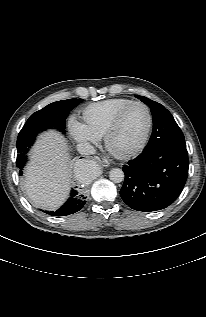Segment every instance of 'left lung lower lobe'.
<instances>
[{
    "label": "left lung lower lobe",
    "instance_id": "obj_1",
    "mask_svg": "<svg viewBox=\"0 0 206 317\" xmlns=\"http://www.w3.org/2000/svg\"><path fill=\"white\" fill-rule=\"evenodd\" d=\"M186 147L162 145L144 150L124 165L125 181L120 190L123 201L132 209L151 212L172 204L188 176Z\"/></svg>",
    "mask_w": 206,
    "mask_h": 317
}]
</instances>
